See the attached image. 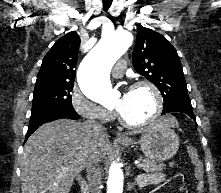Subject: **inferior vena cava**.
I'll use <instances>...</instances> for the list:
<instances>
[{
    "instance_id": "obj_1",
    "label": "inferior vena cava",
    "mask_w": 221,
    "mask_h": 193,
    "mask_svg": "<svg viewBox=\"0 0 221 193\" xmlns=\"http://www.w3.org/2000/svg\"><path fill=\"white\" fill-rule=\"evenodd\" d=\"M86 127L98 134H105L106 129L95 121H86ZM87 180L89 184L90 193H101V173L99 163L94 158H89L86 164Z\"/></svg>"
}]
</instances>
